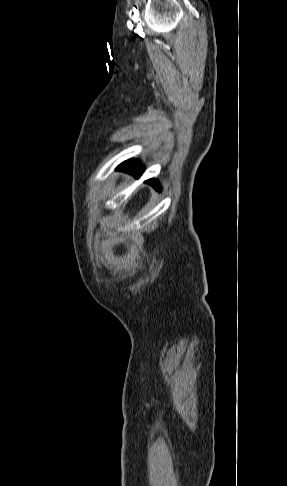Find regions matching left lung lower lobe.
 <instances>
[{
	"instance_id": "1",
	"label": "left lung lower lobe",
	"mask_w": 287,
	"mask_h": 486,
	"mask_svg": "<svg viewBox=\"0 0 287 486\" xmlns=\"http://www.w3.org/2000/svg\"><path fill=\"white\" fill-rule=\"evenodd\" d=\"M116 169L132 174L136 178L140 177L144 172V167L140 164V162L132 159L121 163ZM146 182L152 185L158 191H161V186L159 185L158 181L149 179Z\"/></svg>"
}]
</instances>
